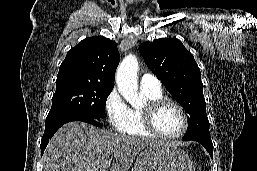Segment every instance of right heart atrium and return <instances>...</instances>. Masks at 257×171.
I'll use <instances>...</instances> for the list:
<instances>
[{
  "instance_id": "1",
  "label": "right heart atrium",
  "mask_w": 257,
  "mask_h": 171,
  "mask_svg": "<svg viewBox=\"0 0 257 171\" xmlns=\"http://www.w3.org/2000/svg\"><path fill=\"white\" fill-rule=\"evenodd\" d=\"M104 107L110 126L122 131L128 120L129 107L116 88L107 95Z\"/></svg>"
}]
</instances>
